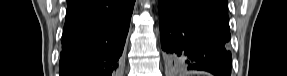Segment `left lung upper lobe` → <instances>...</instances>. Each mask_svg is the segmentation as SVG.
Here are the masks:
<instances>
[{"label":"left lung upper lobe","mask_w":287,"mask_h":76,"mask_svg":"<svg viewBox=\"0 0 287 76\" xmlns=\"http://www.w3.org/2000/svg\"><path fill=\"white\" fill-rule=\"evenodd\" d=\"M211 3L220 5L221 7L227 9L228 8V2L227 0H210Z\"/></svg>","instance_id":"obj_1"}]
</instances>
